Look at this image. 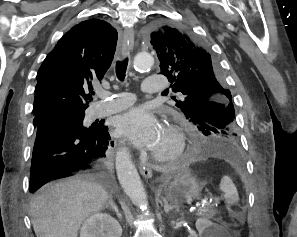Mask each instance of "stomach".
<instances>
[{
	"instance_id": "1",
	"label": "stomach",
	"mask_w": 297,
	"mask_h": 237,
	"mask_svg": "<svg viewBox=\"0 0 297 237\" xmlns=\"http://www.w3.org/2000/svg\"><path fill=\"white\" fill-rule=\"evenodd\" d=\"M202 188L203 184L189 170H183L165 187L164 201L175 207L190 204L199 199Z\"/></svg>"
}]
</instances>
